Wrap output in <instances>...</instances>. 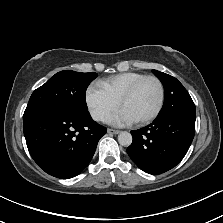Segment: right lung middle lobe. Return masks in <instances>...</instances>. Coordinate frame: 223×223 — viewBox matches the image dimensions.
<instances>
[{
  "mask_svg": "<svg viewBox=\"0 0 223 223\" xmlns=\"http://www.w3.org/2000/svg\"><path fill=\"white\" fill-rule=\"evenodd\" d=\"M96 77L92 72L64 70L56 73L32 93L23 119L46 113L89 116L85 93Z\"/></svg>",
  "mask_w": 223,
  "mask_h": 223,
  "instance_id": "dd1d6c3e",
  "label": "right lung middle lobe"
}]
</instances>
